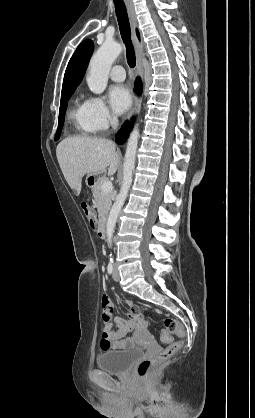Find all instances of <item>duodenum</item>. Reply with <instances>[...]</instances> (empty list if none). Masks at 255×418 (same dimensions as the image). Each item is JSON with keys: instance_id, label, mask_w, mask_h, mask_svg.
Segmentation results:
<instances>
[{"instance_id": "410a0bca", "label": "duodenum", "mask_w": 255, "mask_h": 418, "mask_svg": "<svg viewBox=\"0 0 255 418\" xmlns=\"http://www.w3.org/2000/svg\"><path fill=\"white\" fill-rule=\"evenodd\" d=\"M107 228V219L105 216L101 217L97 225V234L100 238H105Z\"/></svg>"}]
</instances>
